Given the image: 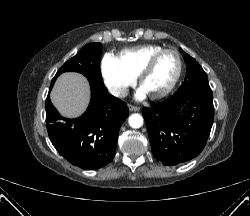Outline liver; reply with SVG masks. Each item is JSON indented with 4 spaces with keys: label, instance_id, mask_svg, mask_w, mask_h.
Segmentation results:
<instances>
[{
    "label": "liver",
    "instance_id": "obj_1",
    "mask_svg": "<svg viewBox=\"0 0 250 216\" xmlns=\"http://www.w3.org/2000/svg\"><path fill=\"white\" fill-rule=\"evenodd\" d=\"M89 84L78 73H64L56 81L51 99L55 107L67 117L81 114L89 102Z\"/></svg>",
    "mask_w": 250,
    "mask_h": 216
}]
</instances>
